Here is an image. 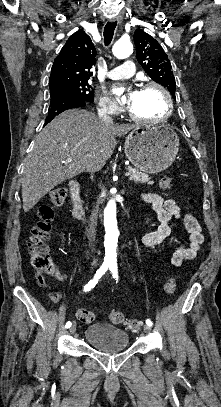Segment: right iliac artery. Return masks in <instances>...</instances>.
<instances>
[{
	"instance_id": "82829eb1",
	"label": "right iliac artery",
	"mask_w": 221,
	"mask_h": 407,
	"mask_svg": "<svg viewBox=\"0 0 221 407\" xmlns=\"http://www.w3.org/2000/svg\"><path fill=\"white\" fill-rule=\"evenodd\" d=\"M109 265L108 264H103L96 272L94 278L88 282L84 286V291H90L92 288L95 287V285L98 283V280L102 277L103 274L108 270ZM71 326V322L68 321L65 325V328H69Z\"/></svg>"
}]
</instances>
